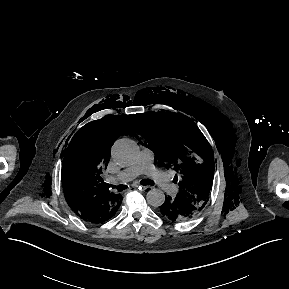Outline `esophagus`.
Masks as SVG:
<instances>
[{
	"instance_id": "1",
	"label": "esophagus",
	"mask_w": 289,
	"mask_h": 289,
	"mask_svg": "<svg viewBox=\"0 0 289 289\" xmlns=\"http://www.w3.org/2000/svg\"><path fill=\"white\" fill-rule=\"evenodd\" d=\"M132 188H134V189L139 188V189H142L143 191H145L151 187L150 186L133 185Z\"/></svg>"
}]
</instances>
